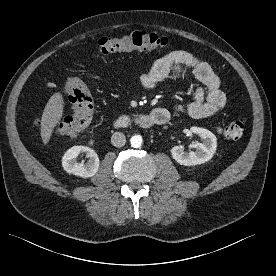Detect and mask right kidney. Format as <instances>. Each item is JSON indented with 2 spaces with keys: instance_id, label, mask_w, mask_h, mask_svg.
I'll return each instance as SVG.
<instances>
[{
  "instance_id": "obj_1",
  "label": "right kidney",
  "mask_w": 276,
  "mask_h": 276,
  "mask_svg": "<svg viewBox=\"0 0 276 276\" xmlns=\"http://www.w3.org/2000/svg\"><path fill=\"white\" fill-rule=\"evenodd\" d=\"M82 152H85L86 157L89 158L86 163L77 161L79 154ZM99 164L100 160L97 153L93 149L81 145L69 148L62 157L64 170L82 178L94 176L98 171Z\"/></svg>"
}]
</instances>
